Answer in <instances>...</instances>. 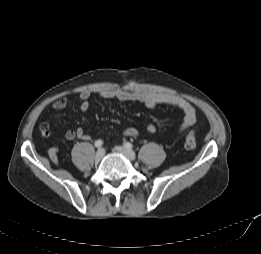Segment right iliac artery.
<instances>
[{
	"label": "right iliac artery",
	"instance_id": "right-iliac-artery-1",
	"mask_svg": "<svg viewBox=\"0 0 261 254\" xmlns=\"http://www.w3.org/2000/svg\"><path fill=\"white\" fill-rule=\"evenodd\" d=\"M102 145H103V141L102 140L95 141V147L100 148Z\"/></svg>",
	"mask_w": 261,
	"mask_h": 254
}]
</instances>
